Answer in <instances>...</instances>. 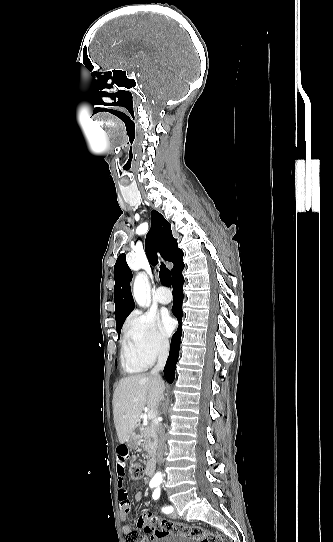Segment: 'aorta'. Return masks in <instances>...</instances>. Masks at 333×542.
<instances>
[{"label":"aorta","mask_w":333,"mask_h":542,"mask_svg":"<svg viewBox=\"0 0 333 542\" xmlns=\"http://www.w3.org/2000/svg\"><path fill=\"white\" fill-rule=\"evenodd\" d=\"M133 296L139 306H146L148 304V290L143 276H137L134 282ZM162 480L163 476L161 472H157L152 478V482H155L156 486H160Z\"/></svg>","instance_id":"obj_1"}]
</instances>
